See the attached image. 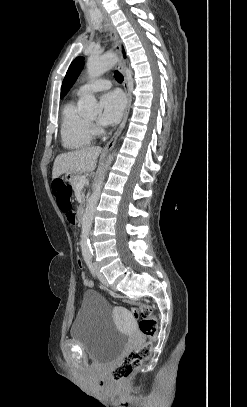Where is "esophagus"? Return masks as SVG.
Listing matches in <instances>:
<instances>
[{"mask_svg": "<svg viewBox=\"0 0 247 407\" xmlns=\"http://www.w3.org/2000/svg\"><path fill=\"white\" fill-rule=\"evenodd\" d=\"M104 13V17L105 20L107 22V24L109 25L110 31H111V40H112V44H113V49L114 52L116 53V55L118 56V60L116 63V69L119 70L123 76H124V83H123V87L126 93V97H127V103L124 109V114H123V119L121 124L119 125L117 131L114 133L113 137L110 139V141L105 145L104 150H110L114 147L117 137L119 136V134L121 133L122 129L125 126L126 120H127V116L129 113V109H130V105H131V94H130V90H129V81L124 69V63H123V59H122V47H121V40L119 38L117 29L115 27V25L113 24L111 18L109 17V15L106 12Z\"/></svg>", "mask_w": 247, "mask_h": 407, "instance_id": "1", "label": "esophagus"}]
</instances>
